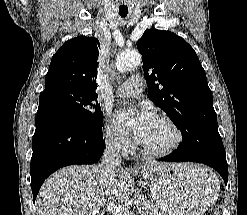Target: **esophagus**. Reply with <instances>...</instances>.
<instances>
[{
	"instance_id": "esophagus-1",
	"label": "esophagus",
	"mask_w": 247,
	"mask_h": 215,
	"mask_svg": "<svg viewBox=\"0 0 247 215\" xmlns=\"http://www.w3.org/2000/svg\"><path fill=\"white\" fill-rule=\"evenodd\" d=\"M130 169L131 170H136L137 169V166L136 165H134L133 167L131 166Z\"/></svg>"
}]
</instances>
